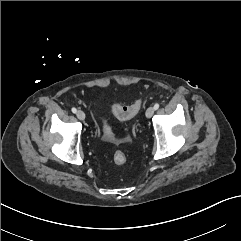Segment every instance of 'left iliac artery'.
Masks as SVG:
<instances>
[{"label": "left iliac artery", "mask_w": 241, "mask_h": 241, "mask_svg": "<svg viewBox=\"0 0 241 241\" xmlns=\"http://www.w3.org/2000/svg\"><path fill=\"white\" fill-rule=\"evenodd\" d=\"M159 108V103L154 104V110H157Z\"/></svg>", "instance_id": "1"}]
</instances>
